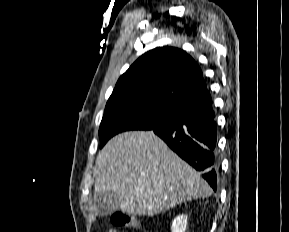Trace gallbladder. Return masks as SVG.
<instances>
[{"label":"gallbladder","mask_w":289,"mask_h":232,"mask_svg":"<svg viewBox=\"0 0 289 232\" xmlns=\"http://www.w3.org/2000/svg\"><path fill=\"white\" fill-rule=\"evenodd\" d=\"M95 205L98 214L102 216L109 215L117 209L116 199L112 193L97 197Z\"/></svg>","instance_id":"obj_1"}]
</instances>
